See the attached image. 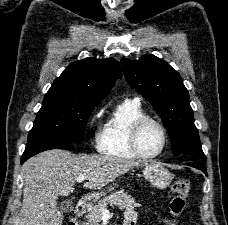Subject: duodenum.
<instances>
[{"label": "duodenum", "mask_w": 228, "mask_h": 225, "mask_svg": "<svg viewBox=\"0 0 228 225\" xmlns=\"http://www.w3.org/2000/svg\"><path fill=\"white\" fill-rule=\"evenodd\" d=\"M88 201L85 199H80L76 202L74 207V213L72 218L69 220L67 225H82V216L87 210ZM124 225H135L134 220L131 218L125 219Z\"/></svg>", "instance_id": "410a0bca"}]
</instances>
